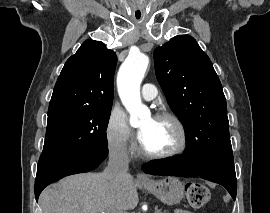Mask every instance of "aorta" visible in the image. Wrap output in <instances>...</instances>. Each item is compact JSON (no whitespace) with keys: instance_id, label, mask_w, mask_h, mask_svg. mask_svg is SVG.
Segmentation results:
<instances>
[{"instance_id":"aorta-1","label":"aorta","mask_w":270,"mask_h":213,"mask_svg":"<svg viewBox=\"0 0 270 213\" xmlns=\"http://www.w3.org/2000/svg\"><path fill=\"white\" fill-rule=\"evenodd\" d=\"M149 64V57L143 53L130 54L121 65L117 75L119 96L130 113L131 126H138L150 117L149 109L142 104L140 85Z\"/></svg>"}]
</instances>
